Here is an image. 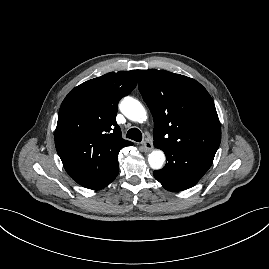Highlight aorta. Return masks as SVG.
I'll list each match as a JSON object with an SVG mask.
<instances>
[{
	"label": "aorta",
	"mask_w": 269,
	"mask_h": 269,
	"mask_svg": "<svg viewBox=\"0 0 269 269\" xmlns=\"http://www.w3.org/2000/svg\"><path fill=\"white\" fill-rule=\"evenodd\" d=\"M121 112L134 122H143L147 119V112L144 106L132 97H125L120 103ZM165 154L162 150H153L148 155L149 166L154 170H159L165 162Z\"/></svg>",
	"instance_id": "762f6f07"
}]
</instances>
